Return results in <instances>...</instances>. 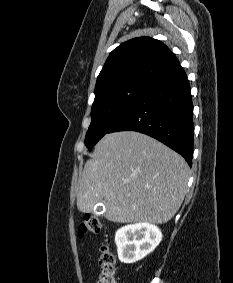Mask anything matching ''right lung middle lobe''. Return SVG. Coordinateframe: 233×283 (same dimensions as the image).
Instances as JSON below:
<instances>
[{
  "mask_svg": "<svg viewBox=\"0 0 233 283\" xmlns=\"http://www.w3.org/2000/svg\"><path fill=\"white\" fill-rule=\"evenodd\" d=\"M149 83L144 80H132L95 93L91 109L92 120L85 138L89 151L109 132Z\"/></svg>",
  "mask_w": 233,
  "mask_h": 283,
  "instance_id": "obj_1",
  "label": "right lung middle lobe"
}]
</instances>
